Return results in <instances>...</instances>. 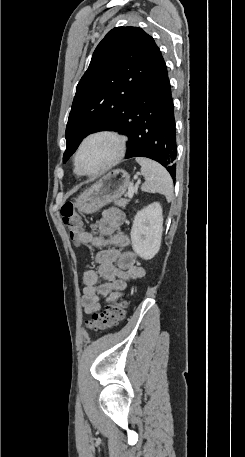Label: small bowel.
<instances>
[{
	"label": "small bowel",
	"instance_id": "c3829d8e",
	"mask_svg": "<svg viewBox=\"0 0 245 457\" xmlns=\"http://www.w3.org/2000/svg\"><path fill=\"white\" fill-rule=\"evenodd\" d=\"M124 222L125 215L121 210L109 208L91 230H81L76 242L100 249L95 257L97 271L86 268L82 274L81 305L87 314L97 313L104 304L117 300L129 281L145 275V269L137 264L136 253L129 249L130 239L122 230ZM99 278L102 279L100 282Z\"/></svg>",
	"mask_w": 245,
	"mask_h": 457
}]
</instances>
